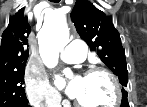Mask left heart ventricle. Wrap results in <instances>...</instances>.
<instances>
[{
    "label": "left heart ventricle",
    "mask_w": 147,
    "mask_h": 107,
    "mask_svg": "<svg viewBox=\"0 0 147 107\" xmlns=\"http://www.w3.org/2000/svg\"><path fill=\"white\" fill-rule=\"evenodd\" d=\"M113 98V86L109 79L105 75H94L82 79L76 100L89 107H101L109 105Z\"/></svg>",
    "instance_id": "left-heart-ventricle-1"
}]
</instances>
